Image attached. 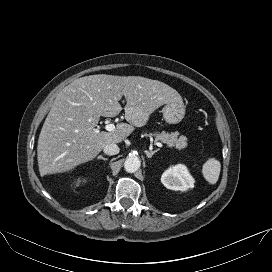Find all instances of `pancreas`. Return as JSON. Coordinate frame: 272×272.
<instances>
[{
	"label": "pancreas",
	"mask_w": 272,
	"mask_h": 272,
	"mask_svg": "<svg viewBox=\"0 0 272 272\" xmlns=\"http://www.w3.org/2000/svg\"><path fill=\"white\" fill-rule=\"evenodd\" d=\"M145 136L155 137L156 141H161L162 143H166L169 147H176L177 149H184L187 147V138L184 135L179 136L178 132L171 133H144Z\"/></svg>",
	"instance_id": "1"
}]
</instances>
